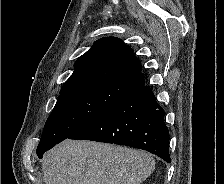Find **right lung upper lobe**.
Listing matches in <instances>:
<instances>
[{
  "mask_svg": "<svg viewBox=\"0 0 224 184\" xmlns=\"http://www.w3.org/2000/svg\"><path fill=\"white\" fill-rule=\"evenodd\" d=\"M75 71L62 86L65 91L76 85L104 81L131 89L145 84L141 62L133 50L116 37H104L75 62Z\"/></svg>",
  "mask_w": 224,
  "mask_h": 184,
  "instance_id": "obj_1",
  "label": "right lung upper lobe"
}]
</instances>
